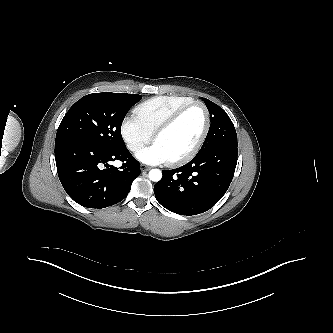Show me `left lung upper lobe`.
<instances>
[{"label": "left lung upper lobe", "instance_id": "left-lung-upper-lobe-1", "mask_svg": "<svg viewBox=\"0 0 333 333\" xmlns=\"http://www.w3.org/2000/svg\"><path fill=\"white\" fill-rule=\"evenodd\" d=\"M211 115V125L199 152L225 144L238 145L235 127L227 113L215 103L203 98Z\"/></svg>", "mask_w": 333, "mask_h": 333}]
</instances>
